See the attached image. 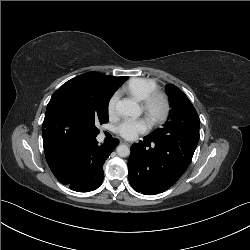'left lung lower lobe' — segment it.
Returning a JSON list of instances; mask_svg holds the SVG:
<instances>
[{
  "mask_svg": "<svg viewBox=\"0 0 250 250\" xmlns=\"http://www.w3.org/2000/svg\"><path fill=\"white\" fill-rule=\"evenodd\" d=\"M198 140L199 129H195L170 138L146 136L134 143L128 160L130 185L145 195L166 191L189 166Z\"/></svg>",
  "mask_w": 250,
  "mask_h": 250,
  "instance_id": "obj_1",
  "label": "left lung lower lobe"
}]
</instances>
